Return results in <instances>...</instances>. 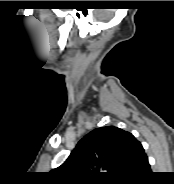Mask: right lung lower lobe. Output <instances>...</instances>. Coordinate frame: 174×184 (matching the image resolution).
Listing matches in <instances>:
<instances>
[{
    "label": "right lung lower lobe",
    "instance_id": "right-lung-lower-lobe-1",
    "mask_svg": "<svg viewBox=\"0 0 174 184\" xmlns=\"http://www.w3.org/2000/svg\"><path fill=\"white\" fill-rule=\"evenodd\" d=\"M151 175L148 159H145L138 169L126 180L118 182V184H146Z\"/></svg>",
    "mask_w": 174,
    "mask_h": 184
}]
</instances>
